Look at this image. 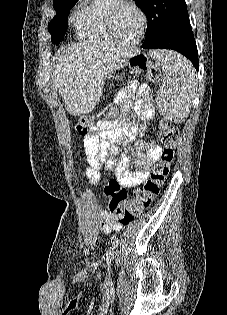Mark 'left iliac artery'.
Returning <instances> with one entry per match:
<instances>
[{"mask_svg": "<svg viewBox=\"0 0 227 315\" xmlns=\"http://www.w3.org/2000/svg\"><path fill=\"white\" fill-rule=\"evenodd\" d=\"M118 244H119V240H118V238H115V239L113 240V247H114V248L117 247Z\"/></svg>", "mask_w": 227, "mask_h": 315, "instance_id": "1", "label": "left iliac artery"}]
</instances>
